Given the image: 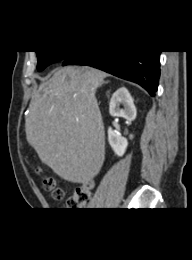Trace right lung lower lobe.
Returning <instances> with one entry per match:
<instances>
[{"label":"right lung lower lobe","instance_id":"obj_1","mask_svg":"<svg viewBox=\"0 0 192 260\" xmlns=\"http://www.w3.org/2000/svg\"><path fill=\"white\" fill-rule=\"evenodd\" d=\"M161 51H79L70 53L62 65H88L138 83L155 95L160 76Z\"/></svg>","mask_w":192,"mask_h":260}]
</instances>
